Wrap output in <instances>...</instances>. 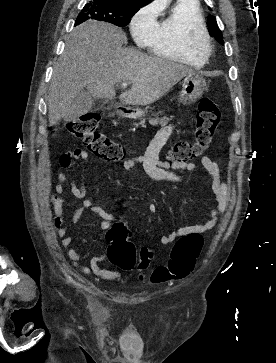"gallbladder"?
Listing matches in <instances>:
<instances>
[{
	"mask_svg": "<svg viewBox=\"0 0 276 363\" xmlns=\"http://www.w3.org/2000/svg\"><path fill=\"white\" fill-rule=\"evenodd\" d=\"M97 102L98 100L89 96L86 90L81 91L75 97L71 113L65 119L67 121H72L79 118L80 116L88 113Z\"/></svg>",
	"mask_w": 276,
	"mask_h": 363,
	"instance_id": "bac80fb5",
	"label": "gallbladder"
}]
</instances>
